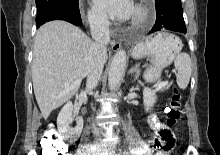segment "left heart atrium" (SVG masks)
Wrapping results in <instances>:
<instances>
[{"instance_id": "obj_1", "label": "left heart atrium", "mask_w": 220, "mask_h": 155, "mask_svg": "<svg viewBox=\"0 0 220 155\" xmlns=\"http://www.w3.org/2000/svg\"><path fill=\"white\" fill-rule=\"evenodd\" d=\"M94 3L100 10L116 19H128L134 11L131 0H94Z\"/></svg>"}]
</instances>
